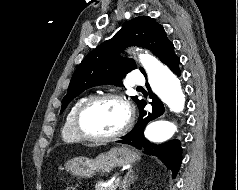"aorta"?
<instances>
[{"mask_svg":"<svg viewBox=\"0 0 238 190\" xmlns=\"http://www.w3.org/2000/svg\"><path fill=\"white\" fill-rule=\"evenodd\" d=\"M139 59L145 68L152 91L171 111L179 113L184 109L185 95L179 79L158 59L149 54H140ZM176 131L175 124L168 119L151 122L145 131L146 138L154 143L168 141Z\"/></svg>","mask_w":238,"mask_h":190,"instance_id":"762f6f07","label":"aorta"}]
</instances>
